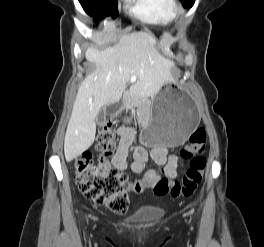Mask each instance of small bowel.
Listing matches in <instances>:
<instances>
[{"instance_id": "c3829d8e", "label": "small bowel", "mask_w": 264, "mask_h": 247, "mask_svg": "<svg viewBox=\"0 0 264 247\" xmlns=\"http://www.w3.org/2000/svg\"><path fill=\"white\" fill-rule=\"evenodd\" d=\"M118 135L120 139L118 148L112 159L113 166L118 170H125L128 167L127 157L131 153L133 156V162L131 164L132 172L135 174L145 172L148 153L143 147L134 144V140L137 136L136 130L132 127H121L118 130ZM151 156L157 163L165 165L168 178L176 179L178 177V172L176 170L177 158L174 155H168L166 148H153ZM145 177L147 186H152L158 180L153 170L146 171Z\"/></svg>"}]
</instances>
